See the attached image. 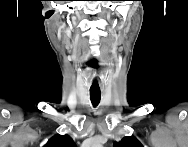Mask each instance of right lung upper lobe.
Masks as SVG:
<instances>
[{
  "label": "right lung upper lobe",
  "instance_id": "obj_1",
  "mask_svg": "<svg viewBox=\"0 0 188 147\" xmlns=\"http://www.w3.org/2000/svg\"><path fill=\"white\" fill-rule=\"evenodd\" d=\"M45 147H75V144L68 135H55L47 142Z\"/></svg>",
  "mask_w": 188,
  "mask_h": 147
}]
</instances>
